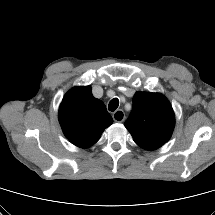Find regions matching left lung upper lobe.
Instances as JSON below:
<instances>
[{
	"instance_id": "left-lung-upper-lobe-1",
	"label": "left lung upper lobe",
	"mask_w": 215,
	"mask_h": 215,
	"mask_svg": "<svg viewBox=\"0 0 215 215\" xmlns=\"http://www.w3.org/2000/svg\"><path fill=\"white\" fill-rule=\"evenodd\" d=\"M175 116L169 101L160 93L137 92L125 122L134 142L145 150H156L173 132Z\"/></svg>"
}]
</instances>
